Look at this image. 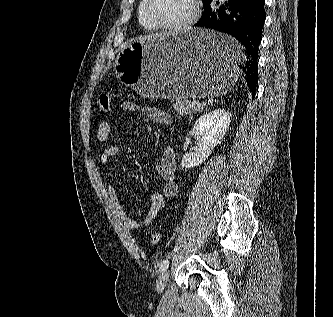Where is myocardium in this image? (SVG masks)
<instances>
[{"label": "myocardium", "instance_id": "myocardium-1", "mask_svg": "<svg viewBox=\"0 0 333 317\" xmlns=\"http://www.w3.org/2000/svg\"><path fill=\"white\" fill-rule=\"evenodd\" d=\"M151 0H143V14L149 24L159 30H166L170 32H184L190 29L197 21L201 12V0H190L191 12L189 16L181 23L178 24H164L156 21L150 14L149 6Z\"/></svg>", "mask_w": 333, "mask_h": 317}]
</instances>
